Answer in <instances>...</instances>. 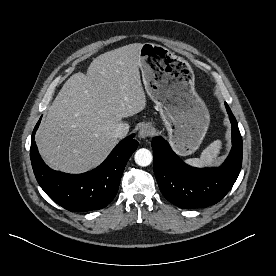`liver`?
<instances>
[{"label": "liver", "mask_w": 276, "mask_h": 276, "mask_svg": "<svg viewBox=\"0 0 276 276\" xmlns=\"http://www.w3.org/2000/svg\"><path fill=\"white\" fill-rule=\"evenodd\" d=\"M141 43L105 52L86 73L73 74L49 108L36 135L52 169L81 174L99 166L118 143L114 129L146 104L139 72Z\"/></svg>", "instance_id": "liver-1"}]
</instances>
